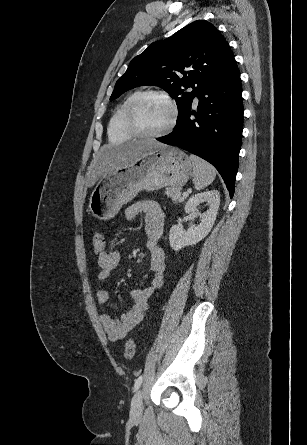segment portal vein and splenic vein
I'll list each match as a JSON object with an SVG mask.
<instances>
[{"instance_id": "1", "label": "portal vein and splenic vein", "mask_w": 307, "mask_h": 445, "mask_svg": "<svg viewBox=\"0 0 307 445\" xmlns=\"http://www.w3.org/2000/svg\"><path fill=\"white\" fill-rule=\"evenodd\" d=\"M183 196H188V192H183Z\"/></svg>"}]
</instances>
